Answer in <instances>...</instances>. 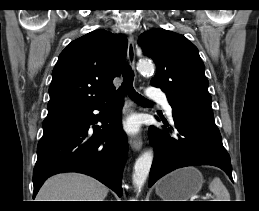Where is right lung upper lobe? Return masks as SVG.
I'll return each instance as SVG.
<instances>
[{
  "label": "right lung upper lobe",
  "mask_w": 259,
  "mask_h": 211,
  "mask_svg": "<svg viewBox=\"0 0 259 211\" xmlns=\"http://www.w3.org/2000/svg\"><path fill=\"white\" fill-rule=\"evenodd\" d=\"M127 38L105 30L72 41L52 72L46 118L91 109L115 96L113 79L120 76Z\"/></svg>",
  "instance_id": "cb5924a9"
}]
</instances>
